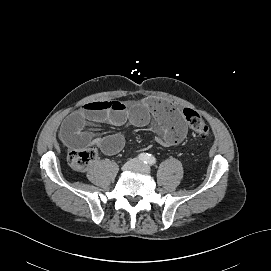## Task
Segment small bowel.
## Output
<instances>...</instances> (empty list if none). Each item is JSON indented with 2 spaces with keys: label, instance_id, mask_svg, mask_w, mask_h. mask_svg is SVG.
Here are the masks:
<instances>
[{
  "label": "small bowel",
  "instance_id": "small-bowel-1",
  "mask_svg": "<svg viewBox=\"0 0 271 271\" xmlns=\"http://www.w3.org/2000/svg\"><path fill=\"white\" fill-rule=\"evenodd\" d=\"M151 115L162 131L163 145L174 146L185 138L187 128L184 116L173 106L158 99H148L131 109L115 100L87 103L63 122L60 137L70 148L95 146L107 155H114L124 146L123 135L115 133L105 137H94L87 130L88 123L121 126L130 121L133 125L142 127L148 124Z\"/></svg>",
  "mask_w": 271,
  "mask_h": 271
}]
</instances>
